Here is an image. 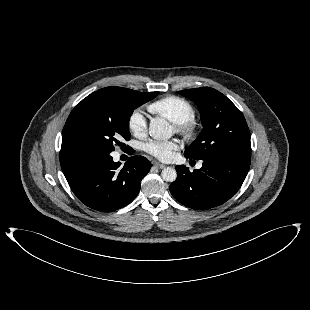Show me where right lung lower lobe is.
I'll return each mask as SVG.
<instances>
[{
	"instance_id": "obj_1",
	"label": "right lung lower lobe",
	"mask_w": 310,
	"mask_h": 310,
	"mask_svg": "<svg viewBox=\"0 0 310 310\" xmlns=\"http://www.w3.org/2000/svg\"><path fill=\"white\" fill-rule=\"evenodd\" d=\"M129 150H134L129 147ZM109 148L71 147L61 149L60 164L64 176L77 198L86 206L111 212L132 202L141 180L151 168L143 156H133L120 167Z\"/></svg>"
}]
</instances>
